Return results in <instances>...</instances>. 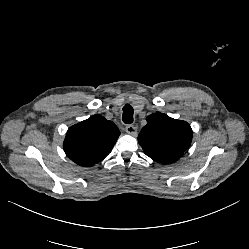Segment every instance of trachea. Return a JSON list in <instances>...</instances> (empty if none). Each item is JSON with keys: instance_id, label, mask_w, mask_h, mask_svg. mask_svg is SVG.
Wrapping results in <instances>:
<instances>
[{"instance_id": "trachea-1", "label": "trachea", "mask_w": 249, "mask_h": 249, "mask_svg": "<svg viewBox=\"0 0 249 249\" xmlns=\"http://www.w3.org/2000/svg\"><path fill=\"white\" fill-rule=\"evenodd\" d=\"M124 123H132L133 122V107L130 104H125L123 107V116Z\"/></svg>"}]
</instances>
